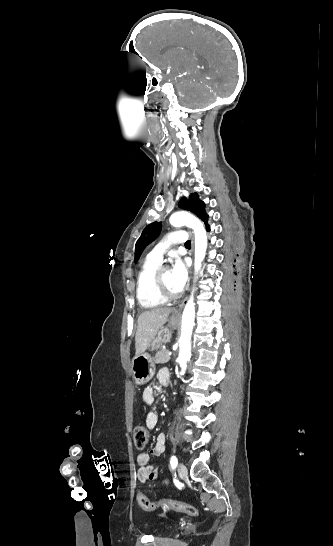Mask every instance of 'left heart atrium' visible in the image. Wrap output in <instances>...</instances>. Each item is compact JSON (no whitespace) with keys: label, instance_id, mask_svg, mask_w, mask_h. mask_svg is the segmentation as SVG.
I'll use <instances>...</instances> for the list:
<instances>
[{"label":"left heart atrium","instance_id":"obj_1","mask_svg":"<svg viewBox=\"0 0 333 546\" xmlns=\"http://www.w3.org/2000/svg\"><path fill=\"white\" fill-rule=\"evenodd\" d=\"M172 285L177 292L185 287L187 282V267L180 258H175L170 270Z\"/></svg>","mask_w":333,"mask_h":546}]
</instances>
